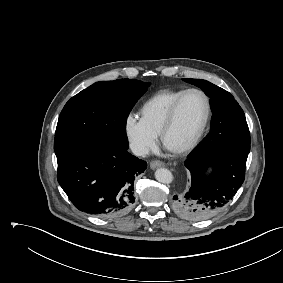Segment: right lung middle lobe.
<instances>
[{
	"instance_id": "obj_1",
	"label": "right lung middle lobe",
	"mask_w": 283,
	"mask_h": 283,
	"mask_svg": "<svg viewBox=\"0 0 283 283\" xmlns=\"http://www.w3.org/2000/svg\"><path fill=\"white\" fill-rule=\"evenodd\" d=\"M150 83L119 79L94 83L72 97L57 123L56 156L89 141L104 140L128 149L127 117Z\"/></svg>"
}]
</instances>
